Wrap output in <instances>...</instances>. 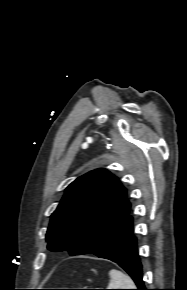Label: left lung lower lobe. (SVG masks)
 Listing matches in <instances>:
<instances>
[{
	"label": "left lung lower lobe",
	"instance_id": "1",
	"mask_svg": "<svg viewBox=\"0 0 187 290\" xmlns=\"http://www.w3.org/2000/svg\"><path fill=\"white\" fill-rule=\"evenodd\" d=\"M92 254L117 263L134 280L137 290H147L142 280L136 237L133 235V218L129 213Z\"/></svg>",
	"mask_w": 187,
	"mask_h": 290
}]
</instances>
